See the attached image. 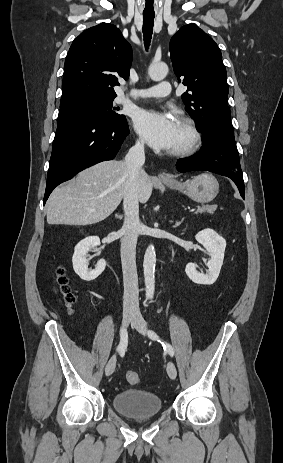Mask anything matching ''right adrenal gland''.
<instances>
[{
    "mask_svg": "<svg viewBox=\"0 0 283 463\" xmlns=\"http://www.w3.org/2000/svg\"><path fill=\"white\" fill-rule=\"evenodd\" d=\"M116 217H117L118 219L122 220V218H123V215H121V214H117V215H116Z\"/></svg>",
    "mask_w": 283,
    "mask_h": 463,
    "instance_id": "obj_1",
    "label": "right adrenal gland"
}]
</instances>
